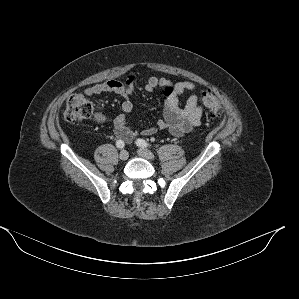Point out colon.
I'll list each match as a JSON object with an SVG mask.
<instances>
[{
    "label": "colon",
    "instance_id": "obj_1",
    "mask_svg": "<svg viewBox=\"0 0 299 299\" xmlns=\"http://www.w3.org/2000/svg\"><path fill=\"white\" fill-rule=\"evenodd\" d=\"M203 104L210 110L213 116L223 115L220 100L211 92L204 91L201 94ZM97 105L81 94L70 95L65 103L64 118L69 122H81L93 116Z\"/></svg>",
    "mask_w": 299,
    "mask_h": 299
}]
</instances>
